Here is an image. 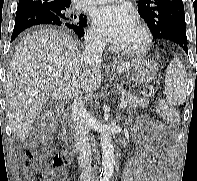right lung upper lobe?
<instances>
[{
    "label": "right lung upper lobe",
    "instance_id": "obj_1",
    "mask_svg": "<svg viewBox=\"0 0 197 181\" xmlns=\"http://www.w3.org/2000/svg\"><path fill=\"white\" fill-rule=\"evenodd\" d=\"M24 2L34 3L38 5L54 4V5H70L71 0H20Z\"/></svg>",
    "mask_w": 197,
    "mask_h": 181
}]
</instances>
